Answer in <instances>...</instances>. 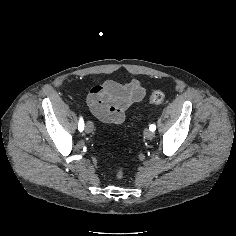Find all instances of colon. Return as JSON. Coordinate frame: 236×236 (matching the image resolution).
I'll return each instance as SVG.
<instances>
[{
  "mask_svg": "<svg viewBox=\"0 0 236 236\" xmlns=\"http://www.w3.org/2000/svg\"><path fill=\"white\" fill-rule=\"evenodd\" d=\"M165 100V94L161 91H155L150 96V103L151 104H160ZM122 177V172L118 171L117 178L120 179Z\"/></svg>",
  "mask_w": 236,
  "mask_h": 236,
  "instance_id": "5ec220e1",
  "label": "colon"
}]
</instances>
